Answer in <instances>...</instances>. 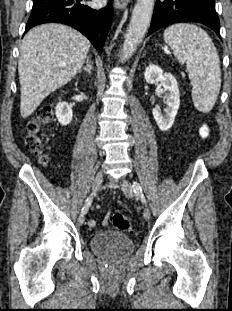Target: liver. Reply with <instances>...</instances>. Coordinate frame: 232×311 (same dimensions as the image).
Segmentation results:
<instances>
[{
	"mask_svg": "<svg viewBox=\"0 0 232 311\" xmlns=\"http://www.w3.org/2000/svg\"><path fill=\"white\" fill-rule=\"evenodd\" d=\"M89 48L90 42L85 36L65 25H41L25 35L18 62L23 118L30 116L50 93L76 76Z\"/></svg>",
	"mask_w": 232,
	"mask_h": 311,
	"instance_id": "1",
	"label": "liver"
}]
</instances>
